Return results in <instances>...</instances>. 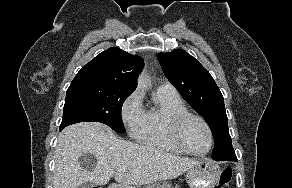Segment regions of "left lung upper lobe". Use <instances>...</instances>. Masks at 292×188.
<instances>
[{
    "mask_svg": "<svg viewBox=\"0 0 292 188\" xmlns=\"http://www.w3.org/2000/svg\"><path fill=\"white\" fill-rule=\"evenodd\" d=\"M161 68L181 96L208 123L214 136L212 158L235 153L229 135L223 96L210 73L182 49L157 55Z\"/></svg>",
    "mask_w": 292,
    "mask_h": 188,
    "instance_id": "1",
    "label": "left lung upper lobe"
}]
</instances>
